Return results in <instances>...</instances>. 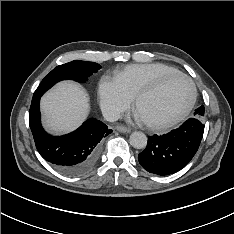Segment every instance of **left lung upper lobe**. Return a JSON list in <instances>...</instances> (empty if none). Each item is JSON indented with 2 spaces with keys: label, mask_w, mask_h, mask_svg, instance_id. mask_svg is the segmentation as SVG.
I'll return each mask as SVG.
<instances>
[{
  "label": "left lung upper lobe",
  "mask_w": 234,
  "mask_h": 234,
  "mask_svg": "<svg viewBox=\"0 0 234 234\" xmlns=\"http://www.w3.org/2000/svg\"><path fill=\"white\" fill-rule=\"evenodd\" d=\"M195 118H198L200 120H203L204 117V106H201L199 108H197L194 112V116Z\"/></svg>",
  "instance_id": "5c2ea615"
}]
</instances>
